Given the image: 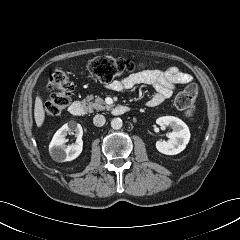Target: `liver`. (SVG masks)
Instances as JSON below:
<instances>
[{
  "label": "liver",
  "mask_w": 240,
  "mask_h": 240,
  "mask_svg": "<svg viewBox=\"0 0 240 240\" xmlns=\"http://www.w3.org/2000/svg\"><path fill=\"white\" fill-rule=\"evenodd\" d=\"M34 118H35L36 125L38 127H41L45 120V111L43 108L42 99L40 97H37L35 100Z\"/></svg>",
  "instance_id": "liver-1"
}]
</instances>
